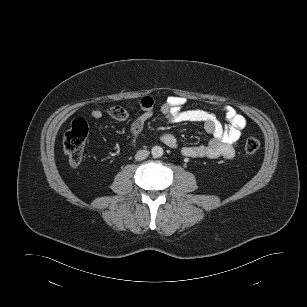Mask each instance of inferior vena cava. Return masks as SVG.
<instances>
[{
  "instance_id": "1",
  "label": "inferior vena cava",
  "mask_w": 307,
  "mask_h": 307,
  "mask_svg": "<svg viewBox=\"0 0 307 307\" xmlns=\"http://www.w3.org/2000/svg\"><path fill=\"white\" fill-rule=\"evenodd\" d=\"M148 156H149L148 150H139L135 155V159L137 161H141V160L146 159Z\"/></svg>"
}]
</instances>
